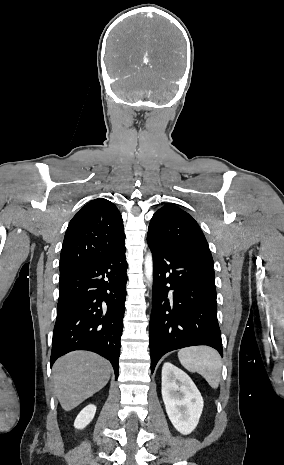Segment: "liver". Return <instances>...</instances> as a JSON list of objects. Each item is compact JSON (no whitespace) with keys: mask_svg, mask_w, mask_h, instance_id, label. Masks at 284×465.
<instances>
[{"mask_svg":"<svg viewBox=\"0 0 284 465\" xmlns=\"http://www.w3.org/2000/svg\"><path fill=\"white\" fill-rule=\"evenodd\" d=\"M111 365L95 353L76 351L61 357L53 367L55 395L64 411H72L88 397L103 389Z\"/></svg>","mask_w":284,"mask_h":465,"instance_id":"6515ba94","label":"liver"}]
</instances>
